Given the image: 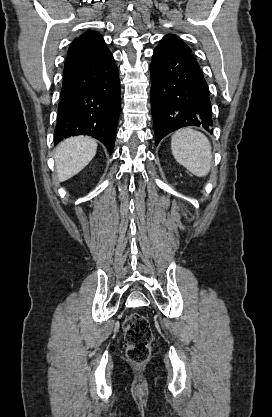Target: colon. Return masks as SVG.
<instances>
[{
	"label": "colon",
	"instance_id": "1",
	"mask_svg": "<svg viewBox=\"0 0 272 417\" xmlns=\"http://www.w3.org/2000/svg\"><path fill=\"white\" fill-rule=\"evenodd\" d=\"M126 357L133 364L145 363L151 350L153 334L145 316L133 313L128 316L123 324Z\"/></svg>",
	"mask_w": 272,
	"mask_h": 417
}]
</instances>
